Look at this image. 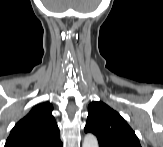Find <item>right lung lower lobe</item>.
Masks as SVG:
<instances>
[{
  "instance_id": "obj_1",
  "label": "right lung lower lobe",
  "mask_w": 163,
  "mask_h": 147,
  "mask_svg": "<svg viewBox=\"0 0 163 147\" xmlns=\"http://www.w3.org/2000/svg\"><path fill=\"white\" fill-rule=\"evenodd\" d=\"M50 147H62V142H59V143H57V144H55V145H52V146H50Z\"/></svg>"
}]
</instances>
